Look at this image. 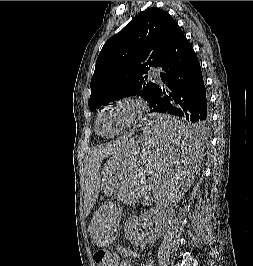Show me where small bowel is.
Here are the masks:
<instances>
[{
  "label": "small bowel",
  "instance_id": "1",
  "mask_svg": "<svg viewBox=\"0 0 253 266\" xmlns=\"http://www.w3.org/2000/svg\"><path fill=\"white\" fill-rule=\"evenodd\" d=\"M118 252L122 256V259L119 263V266H133L131 262L132 257H136L137 254L133 252L132 250L125 248V247H119ZM143 266H154L153 261L150 259H147L144 262Z\"/></svg>",
  "mask_w": 253,
  "mask_h": 266
}]
</instances>
